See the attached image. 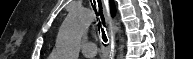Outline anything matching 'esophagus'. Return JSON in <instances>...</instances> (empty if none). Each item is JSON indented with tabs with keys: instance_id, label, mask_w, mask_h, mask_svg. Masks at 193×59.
Segmentation results:
<instances>
[{
	"instance_id": "34e87169",
	"label": "esophagus",
	"mask_w": 193,
	"mask_h": 59,
	"mask_svg": "<svg viewBox=\"0 0 193 59\" xmlns=\"http://www.w3.org/2000/svg\"><path fill=\"white\" fill-rule=\"evenodd\" d=\"M100 2L104 6V10H105L106 16L108 18V22H109V37H107L108 41L106 42V44L108 45L107 46L108 59H113L114 55H115V52H116V50H115V32H114V29H113V22H112V18H111V15H110L109 2H108V0H104V1L91 0L90 1V3H92L94 8L96 6H98V3H100Z\"/></svg>"
}]
</instances>
